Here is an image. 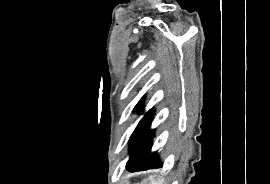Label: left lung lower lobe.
<instances>
[{"label": "left lung lower lobe", "instance_id": "1", "mask_svg": "<svg viewBox=\"0 0 270 184\" xmlns=\"http://www.w3.org/2000/svg\"><path fill=\"white\" fill-rule=\"evenodd\" d=\"M154 130H150V124L131 147L130 158L126 164V169L130 172L144 171L162 167L156 152L151 153L152 138Z\"/></svg>", "mask_w": 270, "mask_h": 184}]
</instances>
